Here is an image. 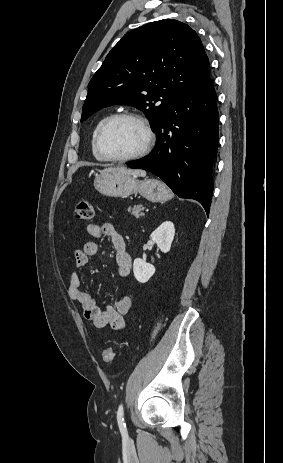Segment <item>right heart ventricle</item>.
<instances>
[{"label": "right heart ventricle", "mask_w": 283, "mask_h": 463, "mask_svg": "<svg viewBox=\"0 0 283 463\" xmlns=\"http://www.w3.org/2000/svg\"><path fill=\"white\" fill-rule=\"evenodd\" d=\"M110 115L107 114V115H104L103 117H101L98 122L96 123L92 133H91V138H90V145H91V152H92V155L95 159L97 160H102V158L99 156V154L97 153L96 151V148H95V135H96V132L98 130V128L100 127V125L109 117Z\"/></svg>", "instance_id": "1"}]
</instances>
